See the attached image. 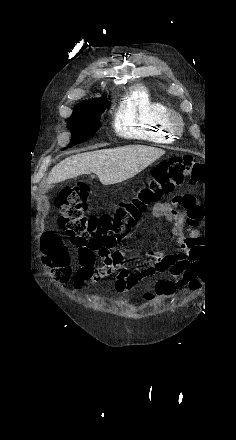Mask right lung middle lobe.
<instances>
[{
    "label": "right lung middle lobe",
    "mask_w": 236,
    "mask_h": 440,
    "mask_svg": "<svg viewBox=\"0 0 236 440\" xmlns=\"http://www.w3.org/2000/svg\"><path fill=\"white\" fill-rule=\"evenodd\" d=\"M107 106L104 98L82 102L75 106L68 121L72 140L68 147L89 140L100 128V116Z\"/></svg>",
    "instance_id": "right-lung-middle-lobe-1"
}]
</instances>
